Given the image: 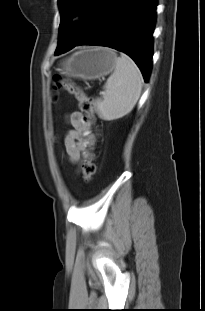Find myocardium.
<instances>
[{
  "mask_svg": "<svg viewBox=\"0 0 205 311\" xmlns=\"http://www.w3.org/2000/svg\"><path fill=\"white\" fill-rule=\"evenodd\" d=\"M83 17L80 13H76L71 18V25L76 27L82 23Z\"/></svg>",
  "mask_w": 205,
  "mask_h": 311,
  "instance_id": "myocardium-1",
  "label": "myocardium"
}]
</instances>
